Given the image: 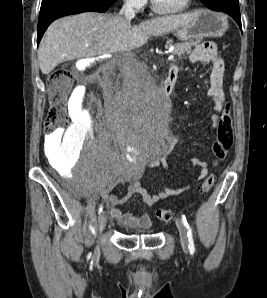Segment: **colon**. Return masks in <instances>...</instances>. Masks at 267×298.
<instances>
[{"mask_svg":"<svg viewBox=\"0 0 267 298\" xmlns=\"http://www.w3.org/2000/svg\"><path fill=\"white\" fill-rule=\"evenodd\" d=\"M72 87V74L69 69H58L51 73L48 79V91L50 96V107L45 119V127L49 134L68 125L67 98ZM233 127L229 112H225L220 119L216 130L214 141V154L217 161H222L227 156L233 145ZM214 175L210 174L202 182L200 191L207 193L214 184ZM157 216L164 222L173 219V212L166 209H158Z\"/></svg>","mask_w":267,"mask_h":298,"instance_id":"colon-1","label":"colon"}]
</instances>
